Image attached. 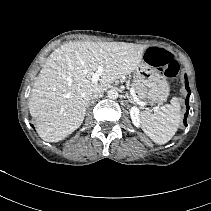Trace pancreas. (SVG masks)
Masks as SVG:
<instances>
[{"mask_svg":"<svg viewBox=\"0 0 211 211\" xmlns=\"http://www.w3.org/2000/svg\"><path fill=\"white\" fill-rule=\"evenodd\" d=\"M131 87L135 90L139 99L146 98L147 88L144 86L142 82H140L137 79H134L131 84Z\"/></svg>","mask_w":211,"mask_h":211,"instance_id":"1","label":"pancreas"}]
</instances>
